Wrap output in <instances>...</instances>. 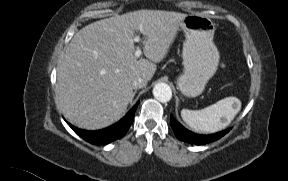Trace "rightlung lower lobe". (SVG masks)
Listing matches in <instances>:
<instances>
[{
    "label": "right lung lower lobe",
    "instance_id": "98d812e1",
    "mask_svg": "<svg viewBox=\"0 0 288 181\" xmlns=\"http://www.w3.org/2000/svg\"><path fill=\"white\" fill-rule=\"evenodd\" d=\"M137 106L138 103L119 122L102 130L87 131L74 127L69 122L67 124L85 141L93 145H106L125 136L134 121Z\"/></svg>",
    "mask_w": 288,
    "mask_h": 181
}]
</instances>
